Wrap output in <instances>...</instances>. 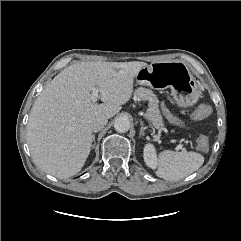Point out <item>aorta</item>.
<instances>
[{
    "label": "aorta",
    "instance_id": "obj_1",
    "mask_svg": "<svg viewBox=\"0 0 241 241\" xmlns=\"http://www.w3.org/2000/svg\"><path fill=\"white\" fill-rule=\"evenodd\" d=\"M114 128L119 133H125L130 128V122L126 117H119L114 122Z\"/></svg>",
    "mask_w": 241,
    "mask_h": 241
}]
</instances>
